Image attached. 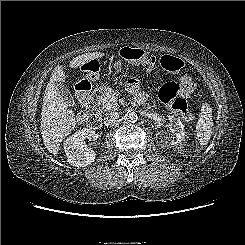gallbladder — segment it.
Masks as SVG:
<instances>
[{
	"label": "gallbladder",
	"mask_w": 245,
	"mask_h": 245,
	"mask_svg": "<svg viewBox=\"0 0 245 245\" xmlns=\"http://www.w3.org/2000/svg\"><path fill=\"white\" fill-rule=\"evenodd\" d=\"M57 86H58V91L61 94V96L63 97L66 104L72 108L76 107V103H75L74 98L71 95L69 89L63 85L57 84Z\"/></svg>",
	"instance_id": "1"
}]
</instances>
